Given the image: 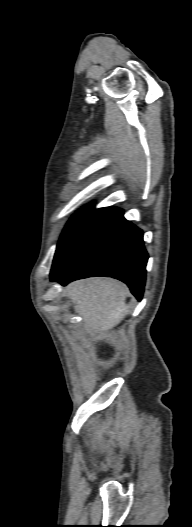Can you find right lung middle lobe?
<instances>
[{"mask_svg": "<svg viewBox=\"0 0 192 527\" xmlns=\"http://www.w3.org/2000/svg\"><path fill=\"white\" fill-rule=\"evenodd\" d=\"M89 206H90V205H89ZM89 206L83 208L82 210H79V211H78V212H77V213H76V214L70 219V221L67 223V225H66V227H65V229H64V231H63V233H62V235H63V234L65 233V231L69 228V226H70V225H71V224H72V223H73V222H74V221H75V220H76V219H77V218H78V217H79V216H80V215H81V214H82V213H83V212H84ZM62 235H61V237H62Z\"/></svg>", "mask_w": 192, "mask_h": 527, "instance_id": "right-lung-middle-lobe-1", "label": "right lung middle lobe"}]
</instances>
